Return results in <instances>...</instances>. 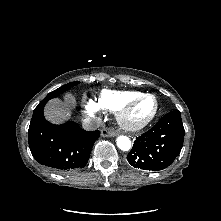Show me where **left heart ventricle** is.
I'll return each instance as SVG.
<instances>
[{
    "mask_svg": "<svg viewBox=\"0 0 221 221\" xmlns=\"http://www.w3.org/2000/svg\"><path fill=\"white\" fill-rule=\"evenodd\" d=\"M154 108V99L144 98L131 108L128 113V121L134 124L143 122L153 113Z\"/></svg>",
    "mask_w": 221,
    "mask_h": 221,
    "instance_id": "1",
    "label": "left heart ventricle"
}]
</instances>
